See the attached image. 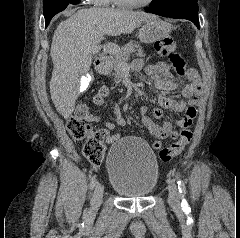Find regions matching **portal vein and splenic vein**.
Wrapping results in <instances>:
<instances>
[{
  "label": "portal vein and splenic vein",
  "mask_w": 240,
  "mask_h": 238,
  "mask_svg": "<svg viewBox=\"0 0 240 238\" xmlns=\"http://www.w3.org/2000/svg\"><path fill=\"white\" fill-rule=\"evenodd\" d=\"M100 50H101L100 45H96V46H94L90 49L92 54H97V53L100 52ZM104 53H110L111 54V53H115V52L113 50H104Z\"/></svg>",
  "instance_id": "obj_1"
}]
</instances>
